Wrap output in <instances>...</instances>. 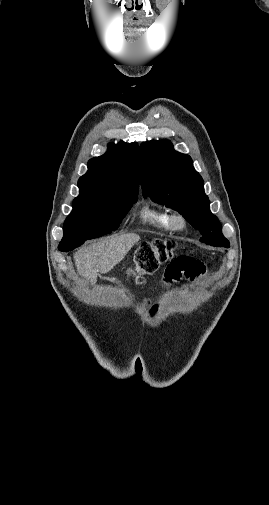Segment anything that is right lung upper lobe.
Returning <instances> with one entry per match:
<instances>
[{
  "mask_svg": "<svg viewBox=\"0 0 269 505\" xmlns=\"http://www.w3.org/2000/svg\"><path fill=\"white\" fill-rule=\"evenodd\" d=\"M79 196H138L139 147L137 143L110 144L107 152L88 162L78 181Z\"/></svg>",
  "mask_w": 269,
  "mask_h": 505,
  "instance_id": "right-lung-upper-lobe-1",
  "label": "right lung upper lobe"
}]
</instances>
